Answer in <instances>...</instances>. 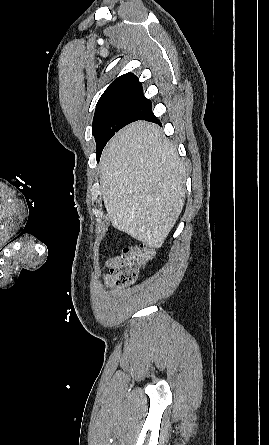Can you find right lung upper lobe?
<instances>
[{
  "instance_id": "cb5924a9",
  "label": "right lung upper lobe",
  "mask_w": 269,
  "mask_h": 445,
  "mask_svg": "<svg viewBox=\"0 0 269 445\" xmlns=\"http://www.w3.org/2000/svg\"><path fill=\"white\" fill-rule=\"evenodd\" d=\"M137 88H142V84L139 82L138 78L133 73H126L116 78L108 86L102 96L115 91Z\"/></svg>"
}]
</instances>
